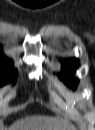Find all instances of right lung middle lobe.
<instances>
[{
	"label": "right lung middle lobe",
	"mask_w": 95,
	"mask_h": 130,
	"mask_svg": "<svg viewBox=\"0 0 95 130\" xmlns=\"http://www.w3.org/2000/svg\"><path fill=\"white\" fill-rule=\"evenodd\" d=\"M16 71L11 70V71H0V85H5L11 81H15L16 78Z\"/></svg>",
	"instance_id": "obj_1"
}]
</instances>
